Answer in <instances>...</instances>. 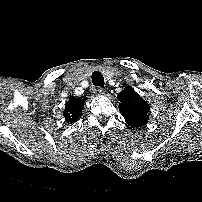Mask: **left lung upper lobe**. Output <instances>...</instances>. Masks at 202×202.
I'll list each match as a JSON object with an SVG mask.
<instances>
[{"mask_svg":"<svg viewBox=\"0 0 202 202\" xmlns=\"http://www.w3.org/2000/svg\"><path fill=\"white\" fill-rule=\"evenodd\" d=\"M119 99V111L126 123L132 127H141L148 120L149 105L143 100L132 87L126 86L117 95Z\"/></svg>","mask_w":202,"mask_h":202,"instance_id":"left-lung-upper-lobe-1","label":"left lung upper lobe"}]
</instances>
